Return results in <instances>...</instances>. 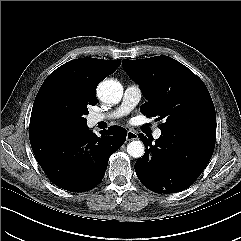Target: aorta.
Returning <instances> with one entry per match:
<instances>
[{
	"mask_svg": "<svg viewBox=\"0 0 241 241\" xmlns=\"http://www.w3.org/2000/svg\"><path fill=\"white\" fill-rule=\"evenodd\" d=\"M123 94L122 85L115 80H105L98 86V95L105 103H118ZM127 153L134 157L140 158L144 155V145L139 140H134L127 145Z\"/></svg>",
	"mask_w": 241,
	"mask_h": 241,
	"instance_id": "762f6f07",
	"label": "aorta"
}]
</instances>
